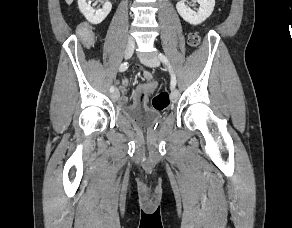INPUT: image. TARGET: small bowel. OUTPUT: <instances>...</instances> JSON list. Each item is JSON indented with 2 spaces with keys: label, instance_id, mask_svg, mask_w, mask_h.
<instances>
[{
  "label": "small bowel",
  "instance_id": "obj_1",
  "mask_svg": "<svg viewBox=\"0 0 292 228\" xmlns=\"http://www.w3.org/2000/svg\"><path fill=\"white\" fill-rule=\"evenodd\" d=\"M137 69L142 70V76L147 81L145 84L138 85L133 93V104L135 106H144L148 104L150 94L155 90L156 83L153 81V75L148 70H143L141 65H137ZM130 79L124 78L120 83L121 96L120 103L126 105L128 103V96L126 87L129 85Z\"/></svg>",
  "mask_w": 292,
  "mask_h": 228
}]
</instances>
